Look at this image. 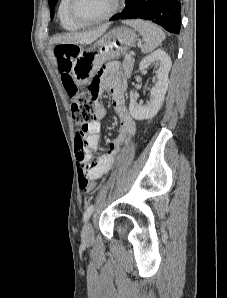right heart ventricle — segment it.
I'll return each instance as SVG.
<instances>
[{
	"mask_svg": "<svg viewBox=\"0 0 227 298\" xmlns=\"http://www.w3.org/2000/svg\"><path fill=\"white\" fill-rule=\"evenodd\" d=\"M68 3H69V0H61L59 3L58 17L60 20V24L65 30H69V31L77 30L81 28V25L76 24L70 19L68 15V10H67Z\"/></svg>",
	"mask_w": 227,
	"mask_h": 298,
	"instance_id": "obj_1",
	"label": "right heart ventricle"
}]
</instances>
